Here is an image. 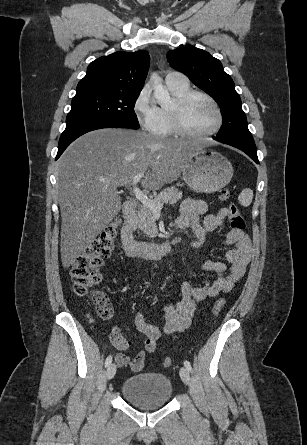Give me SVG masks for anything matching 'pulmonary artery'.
I'll use <instances>...</instances> for the list:
<instances>
[{"label": "pulmonary artery", "mask_w": 307, "mask_h": 445, "mask_svg": "<svg viewBox=\"0 0 307 445\" xmlns=\"http://www.w3.org/2000/svg\"><path fill=\"white\" fill-rule=\"evenodd\" d=\"M181 79H182V72L178 71L176 69L169 71L167 74V77H166L167 82H175V81H179ZM182 82H186V81H182Z\"/></svg>", "instance_id": "obj_1"}]
</instances>
